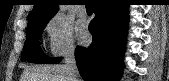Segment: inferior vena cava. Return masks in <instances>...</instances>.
<instances>
[{
    "mask_svg": "<svg viewBox=\"0 0 169 81\" xmlns=\"http://www.w3.org/2000/svg\"><path fill=\"white\" fill-rule=\"evenodd\" d=\"M65 70L70 81H80V75L75 60V49L73 46L68 47L65 52Z\"/></svg>",
    "mask_w": 169,
    "mask_h": 81,
    "instance_id": "obj_1",
    "label": "inferior vena cava"
}]
</instances>
